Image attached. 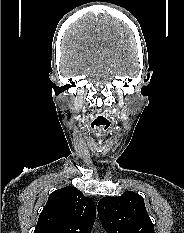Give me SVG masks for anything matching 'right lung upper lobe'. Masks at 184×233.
I'll list each match as a JSON object with an SVG mask.
<instances>
[{
	"label": "right lung upper lobe",
	"mask_w": 184,
	"mask_h": 233,
	"mask_svg": "<svg viewBox=\"0 0 184 233\" xmlns=\"http://www.w3.org/2000/svg\"><path fill=\"white\" fill-rule=\"evenodd\" d=\"M95 218L94 201L67 186L50 194L34 233H91Z\"/></svg>",
	"instance_id": "1"
}]
</instances>
